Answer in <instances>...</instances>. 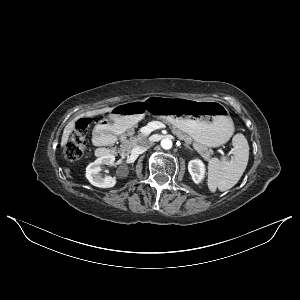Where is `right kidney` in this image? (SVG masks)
Segmentation results:
<instances>
[{"label":"right kidney","instance_id":"1","mask_svg":"<svg viewBox=\"0 0 300 300\" xmlns=\"http://www.w3.org/2000/svg\"><path fill=\"white\" fill-rule=\"evenodd\" d=\"M115 157L111 154L101 156L86 167V178L89 182L100 188H111L116 184V178L112 176H101L100 171L102 165H112Z\"/></svg>","mask_w":300,"mask_h":300}]
</instances>
